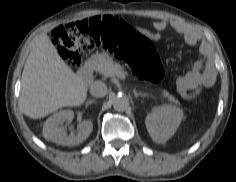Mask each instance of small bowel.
Returning <instances> with one entry per match:
<instances>
[{"label": "small bowel", "instance_id": "small-bowel-1", "mask_svg": "<svg viewBox=\"0 0 236 182\" xmlns=\"http://www.w3.org/2000/svg\"><path fill=\"white\" fill-rule=\"evenodd\" d=\"M168 28L181 35L189 46H195L200 41L195 30L168 20L156 21L152 31L142 29L141 32L151 40L158 41ZM200 52L201 58L176 83L178 93L185 100L196 98L205 87L211 86L214 82V68L208 59L207 47L202 45Z\"/></svg>", "mask_w": 236, "mask_h": 182}]
</instances>
